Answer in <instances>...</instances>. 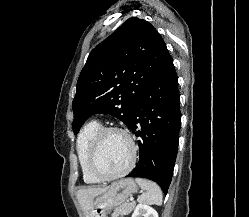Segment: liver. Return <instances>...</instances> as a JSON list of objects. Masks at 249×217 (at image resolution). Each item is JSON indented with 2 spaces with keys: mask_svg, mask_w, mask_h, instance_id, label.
I'll return each mask as SVG.
<instances>
[{
  "mask_svg": "<svg viewBox=\"0 0 249 217\" xmlns=\"http://www.w3.org/2000/svg\"><path fill=\"white\" fill-rule=\"evenodd\" d=\"M107 189V187H92L78 190L76 196L86 217L95 216V211L93 210V200L96 196L106 192Z\"/></svg>",
  "mask_w": 249,
  "mask_h": 217,
  "instance_id": "liver-1",
  "label": "liver"
}]
</instances>
